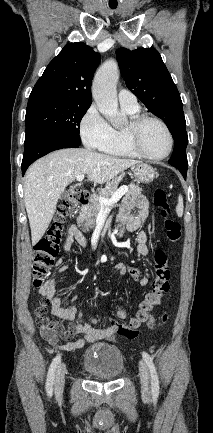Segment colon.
Listing matches in <instances>:
<instances>
[{
	"label": "colon",
	"instance_id": "1",
	"mask_svg": "<svg viewBox=\"0 0 213 433\" xmlns=\"http://www.w3.org/2000/svg\"><path fill=\"white\" fill-rule=\"evenodd\" d=\"M87 198L88 193L86 191L80 189L71 190L59 208L57 221L49 229L47 235L40 239L35 245L33 264V284L35 287H41L43 285L44 278L48 274L58 254L64 219L66 216L79 209ZM153 202L164 218L163 225L166 237L171 242H177L181 238V225L171 217V208L166 192L163 189H157L154 193ZM153 260L155 276L152 282V289L143 300L136 317L126 325L116 322L112 323L113 328L124 337L134 338L137 335L138 328L142 324L150 328L156 327L153 313L161 304L162 299L169 290L170 270L167 255L162 249L159 248L155 251ZM47 306L48 303L43 300L35 311L37 323L42 329L49 328L52 325V321L46 315ZM125 316L126 313L123 309H119L116 312L118 319H123ZM167 321L168 315H164L160 325L165 324Z\"/></svg>",
	"mask_w": 213,
	"mask_h": 433
}]
</instances>
